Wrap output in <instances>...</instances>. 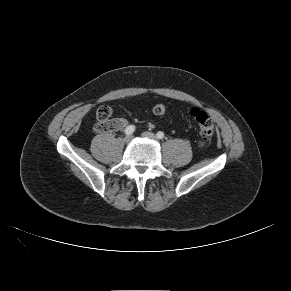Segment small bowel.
Masks as SVG:
<instances>
[{"instance_id": "c3829d8e", "label": "small bowel", "mask_w": 291, "mask_h": 291, "mask_svg": "<svg viewBox=\"0 0 291 291\" xmlns=\"http://www.w3.org/2000/svg\"><path fill=\"white\" fill-rule=\"evenodd\" d=\"M112 131H120L125 128L129 121L126 118H114L111 120Z\"/></svg>"}]
</instances>
